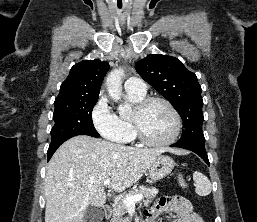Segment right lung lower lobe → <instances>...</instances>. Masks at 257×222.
<instances>
[{
    "label": "right lung lower lobe",
    "instance_id": "right-lung-lower-lobe-1",
    "mask_svg": "<svg viewBox=\"0 0 257 222\" xmlns=\"http://www.w3.org/2000/svg\"><path fill=\"white\" fill-rule=\"evenodd\" d=\"M66 140H68V139H66ZM66 140H63V141H61V142H58V143H56V144H52V145L49 146V149H48V151H47V159H48V161L50 160V158L52 157V155L54 154V152L57 150V148H58L63 142H65Z\"/></svg>",
    "mask_w": 257,
    "mask_h": 222
}]
</instances>
